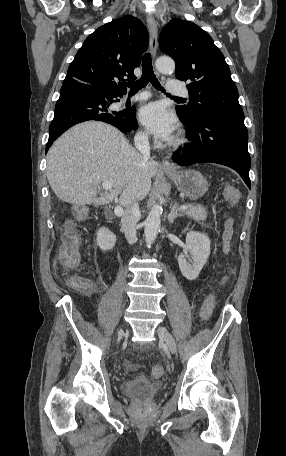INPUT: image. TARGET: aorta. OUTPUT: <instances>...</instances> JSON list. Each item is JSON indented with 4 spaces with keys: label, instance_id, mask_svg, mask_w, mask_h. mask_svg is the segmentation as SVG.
I'll list each match as a JSON object with an SVG mask.
<instances>
[{
    "label": "aorta",
    "instance_id": "1",
    "mask_svg": "<svg viewBox=\"0 0 286 456\" xmlns=\"http://www.w3.org/2000/svg\"><path fill=\"white\" fill-rule=\"evenodd\" d=\"M156 68L161 73H172L175 70L173 59L168 57H160L156 60ZM162 207L159 204H154L145 221V239L149 243H153L157 237L158 230L161 224Z\"/></svg>",
    "mask_w": 286,
    "mask_h": 456
}]
</instances>
